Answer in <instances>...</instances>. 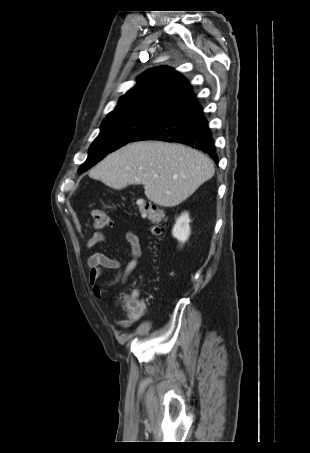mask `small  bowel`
<instances>
[{
  "label": "small bowel",
  "instance_id": "obj_1",
  "mask_svg": "<svg viewBox=\"0 0 310 453\" xmlns=\"http://www.w3.org/2000/svg\"><path fill=\"white\" fill-rule=\"evenodd\" d=\"M126 240L130 248V260L122 268V262L118 259L107 256L104 253L96 252L88 258L89 282L92 286V293L96 298H100L104 292V285L100 282V277L105 270L116 271V275L108 282V285L116 283H126L129 275L137 267L141 257L142 249L140 239L136 231L129 230L126 233ZM106 242L104 233L95 232L86 241V247L92 248L97 244ZM140 317L122 316L116 319L115 323L121 328H127L135 323Z\"/></svg>",
  "mask_w": 310,
  "mask_h": 453
}]
</instances>
